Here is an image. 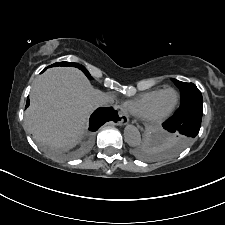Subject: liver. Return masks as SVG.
<instances>
[{
  "label": "liver",
  "mask_w": 225,
  "mask_h": 225,
  "mask_svg": "<svg viewBox=\"0 0 225 225\" xmlns=\"http://www.w3.org/2000/svg\"><path fill=\"white\" fill-rule=\"evenodd\" d=\"M99 95L105 94L94 89L80 70L51 68L34 82L25 125L44 144L72 148L82 139Z\"/></svg>",
  "instance_id": "6515ba94"
}]
</instances>
